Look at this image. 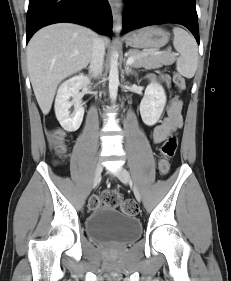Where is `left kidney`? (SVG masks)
Returning a JSON list of instances; mask_svg holds the SVG:
<instances>
[{"label":"left kidney","instance_id":"obj_1","mask_svg":"<svg viewBox=\"0 0 231 281\" xmlns=\"http://www.w3.org/2000/svg\"><path fill=\"white\" fill-rule=\"evenodd\" d=\"M165 105L164 88L159 83H150L140 103V114L143 122L148 126L155 125L160 119Z\"/></svg>","mask_w":231,"mask_h":281}]
</instances>
